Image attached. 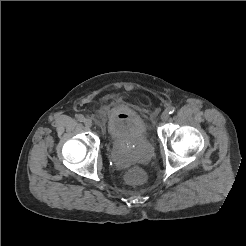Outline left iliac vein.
Masks as SVG:
<instances>
[{"mask_svg":"<svg viewBox=\"0 0 246 246\" xmlns=\"http://www.w3.org/2000/svg\"><path fill=\"white\" fill-rule=\"evenodd\" d=\"M168 118H169V113H168L167 111H164V112L161 114V119H162L163 121H166V120H168Z\"/></svg>","mask_w":246,"mask_h":246,"instance_id":"4c4485c4","label":"left iliac vein"}]
</instances>
